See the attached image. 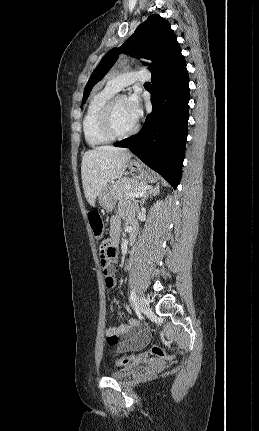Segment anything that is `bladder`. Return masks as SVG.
<instances>
[{
	"instance_id": "1",
	"label": "bladder",
	"mask_w": 259,
	"mask_h": 431,
	"mask_svg": "<svg viewBox=\"0 0 259 431\" xmlns=\"http://www.w3.org/2000/svg\"><path fill=\"white\" fill-rule=\"evenodd\" d=\"M136 371H137V368H127V369L111 372L109 376L115 380H124L131 377Z\"/></svg>"
}]
</instances>
